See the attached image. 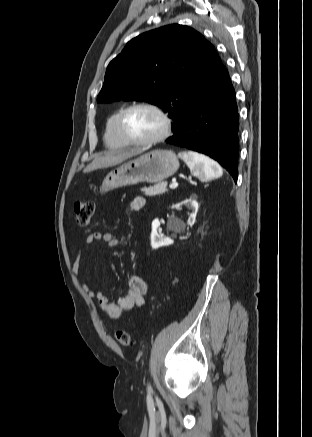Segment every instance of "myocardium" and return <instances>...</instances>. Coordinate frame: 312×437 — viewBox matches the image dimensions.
<instances>
[{
  "label": "myocardium",
  "mask_w": 312,
  "mask_h": 437,
  "mask_svg": "<svg viewBox=\"0 0 312 437\" xmlns=\"http://www.w3.org/2000/svg\"><path fill=\"white\" fill-rule=\"evenodd\" d=\"M137 108H148L154 111L163 122L162 131L155 137L146 140H137L132 138L125 129V120L128 114ZM172 122L168 114L158 105L151 102H136L124 108L117 120V130L121 138L128 144L133 146H151L158 144L167 139L171 133Z\"/></svg>",
  "instance_id": "obj_1"
}]
</instances>
